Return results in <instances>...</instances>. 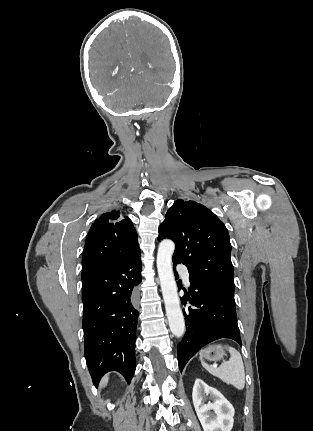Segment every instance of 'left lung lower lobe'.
<instances>
[{
    "label": "left lung lower lobe",
    "mask_w": 313,
    "mask_h": 431,
    "mask_svg": "<svg viewBox=\"0 0 313 431\" xmlns=\"http://www.w3.org/2000/svg\"><path fill=\"white\" fill-rule=\"evenodd\" d=\"M177 264L178 262H173L174 270ZM175 276L178 278L176 271ZM178 287L180 288L179 284ZM189 293L192 298H182L183 304L189 301L193 307L183 309L186 333L178 344L180 372L191 357L214 340L229 338L241 345L234 293L191 281Z\"/></svg>",
    "instance_id": "0a47b994"
}]
</instances>
